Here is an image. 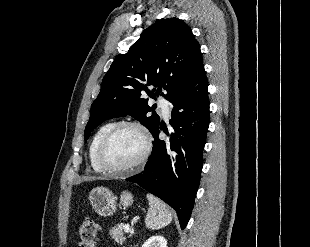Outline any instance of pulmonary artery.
Returning <instances> with one entry per match:
<instances>
[{
	"label": "pulmonary artery",
	"mask_w": 310,
	"mask_h": 247,
	"mask_svg": "<svg viewBox=\"0 0 310 247\" xmlns=\"http://www.w3.org/2000/svg\"><path fill=\"white\" fill-rule=\"evenodd\" d=\"M159 107L162 110V114L165 118H168L171 113V103L168 99L166 98H161L159 100Z\"/></svg>",
	"instance_id": "e3ab8cb5"
}]
</instances>
